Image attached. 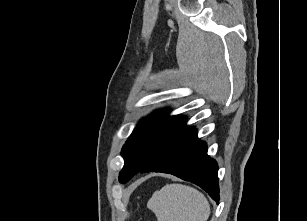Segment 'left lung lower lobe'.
<instances>
[{"instance_id": "1", "label": "left lung lower lobe", "mask_w": 307, "mask_h": 221, "mask_svg": "<svg viewBox=\"0 0 307 221\" xmlns=\"http://www.w3.org/2000/svg\"><path fill=\"white\" fill-rule=\"evenodd\" d=\"M218 166L207 155L205 142L199 141L195 127L169 144L139 172H163L197 184L219 201Z\"/></svg>"}]
</instances>
